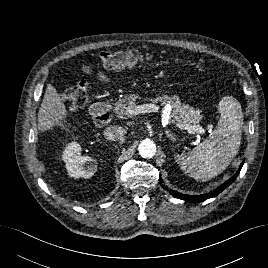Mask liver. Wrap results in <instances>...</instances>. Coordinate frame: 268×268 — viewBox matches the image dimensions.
<instances>
[{"instance_id":"6515ba94","label":"liver","mask_w":268,"mask_h":268,"mask_svg":"<svg viewBox=\"0 0 268 268\" xmlns=\"http://www.w3.org/2000/svg\"><path fill=\"white\" fill-rule=\"evenodd\" d=\"M67 115L64 99L51 84H48L38 112V130L44 132L54 126H63Z\"/></svg>"}]
</instances>
